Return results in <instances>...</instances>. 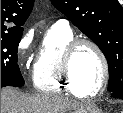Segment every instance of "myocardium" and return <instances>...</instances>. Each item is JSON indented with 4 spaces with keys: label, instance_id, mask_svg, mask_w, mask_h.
<instances>
[{
    "label": "myocardium",
    "instance_id": "obj_1",
    "mask_svg": "<svg viewBox=\"0 0 123 113\" xmlns=\"http://www.w3.org/2000/svg\"><path fill=\"white\" fill-rule=\"evenodd\" d=\"M82 46H90L96 51L97 55L100 58L102 69H103L102 81L99 87L91 93H87L86 91L79 89L74 82V78L72 74L73 59ZM62 73L69 87L72 90L80 93L84 98H94L101 95L105 91L110 77L109 63L104 51L95 41L88 38H74L66 46L62 59Z\"/></svg>",
    "mask_w": 123,
    "mask_h": 113
}]
</instances>
